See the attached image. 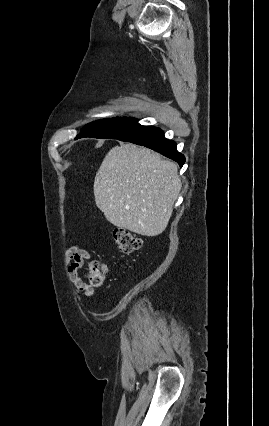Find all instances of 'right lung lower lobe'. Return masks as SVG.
Segmentation results:
<instances>
[{
	"instance_id": "obj_1",
	"label": "right lung lower lobe",
	"mask_w": 269,
	"mask_h": 426,
	"mask_svg": "<svg viewBox=\"0 0 269 426\" xmlns=\"http://www.w3.org/2000/svg\"><path fill=\"white\" fill-rule=\"evenodd\" d=\"M118 140L131 142L155 150L162 155L176 161L181 167L185 157L176 149V143L164 137L161 129L149 126H139L129 135Z\"/></svg>"
}]
</instances>
